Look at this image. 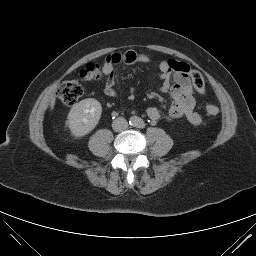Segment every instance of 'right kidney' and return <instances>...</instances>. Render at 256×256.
<instances>
[{
	"label": "right kidney",
	"mask_w": 256,
	"mask_h": 256,
	"mask_svg": "<svg viewBox=\"0 0 256 256\" xmlns=\"http://www.w3.org/2000/svg\"><path fill=\"white\" fill-rule=\"evenodd\" d=\"M102 113L101 104L93 99H84L71 108L67 117V126L71 134L80 138L90 133L98 124Z\"/></svg>",
	"instance_id": "obj_1"
}]
</instances>
